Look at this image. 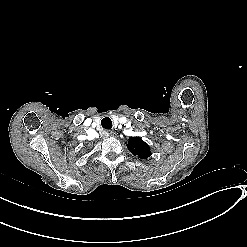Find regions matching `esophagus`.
Listing matches in <instances>:
<instances>
[{
  "mask_svg": "<svg viewBox=\"0 0 247 247\" xmlns=\"http://www.w3.org/2000/svg\"><path fill=\"white\" fill-rule=\"evenodd\" d=\"M109 135L112 136V137H116V133L114 131H110Z\"/></svg>",
  "mask_w": 247,
  "mask_h": 247,
  "instance_id": "esophagus-1",
  "label": "esophagus"
}]
</instances>
